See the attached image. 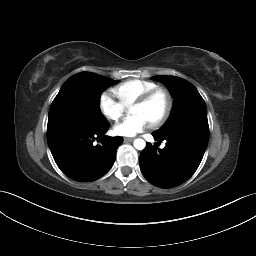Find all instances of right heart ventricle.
<instances>
[{
    "mask_svg": "<svg viewBox=\"0 0 256 256\" xmlns=\"http://www.w3.org/2000/svg\"><path fill=\"white\" fill-rule=\"evenodd\" d=\"M158 87L152 81L132 79L125 81L111 91L124 107H129L147 91Z\"/></svg>",
    "mask_w": 256,
    "mask_h": 256,
    "instance_id": "right-heart-ventricle-1",
    "label": "right heart ventricle"
}]
</instances>
